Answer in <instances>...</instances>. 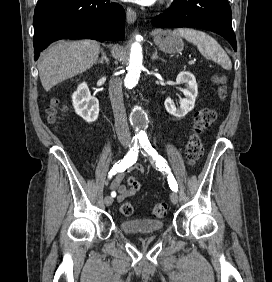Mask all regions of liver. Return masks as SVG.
Masks as SVG:
<instances>
[{
    "label": "liver",
    "instance_id": "6515ba94",
    "mask_svg": "<svg viewBox=\"0 0 272 282\" xmlns=\"http://www.w3.org/2000/svg\"><path fill=\"white\" fill-rule=\"evenodd\" d=\"M100 44L92 40L60 41L41 54L38 64L43 88L49 91L62 81L90 69L96 63Z\"/></svg>",
    "mask_w": 272,
    "mask_h": 282
}]
</instances>
